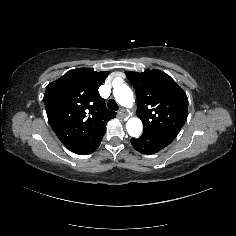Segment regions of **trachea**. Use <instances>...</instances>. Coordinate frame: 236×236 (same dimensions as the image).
Returning <instances> with one entry per match:
<instances>
[{"instance_id": "trachea-1", "label": "trachea", "mask_w": 236, "mask_h": 236, "mask_svg": "<svg viewBox=\"0 0 236 236\" xmlns=\"http://www.w3.org/2000/svg\"><path fill=\"white\" fill-rule=\"evenodd\" d=\"M108 108L110 109V110H118L119 109V106H118V104L115 102V100L114 99H110L109 101H108Z\"/></svg>"}]
</instances>
